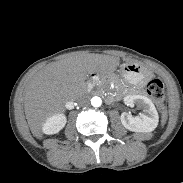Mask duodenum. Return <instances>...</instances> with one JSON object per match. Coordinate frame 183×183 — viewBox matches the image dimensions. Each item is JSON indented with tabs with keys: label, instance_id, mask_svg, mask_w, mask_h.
<instances>
[{
	"label": "duodenum",
	"instance_id": "obj_1",
	"mask_svg": "<svg viewBox=\"0 0 183 183\" xmlns=\"http://www.w3.org/2000/svg\"><path fill=\"white\" fill-rule=\"evenodd\" d=\"M98 79V75L97 74H93L91 77V81L95 82Z\"/></svg>",
	"mask_w": 183,
	"mask_h": 183
}]
</instances>
